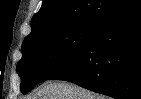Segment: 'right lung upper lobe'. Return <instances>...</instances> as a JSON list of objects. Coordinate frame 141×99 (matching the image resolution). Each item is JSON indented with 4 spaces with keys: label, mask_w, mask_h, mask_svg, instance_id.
Returning <instances> with one entry per match:
<instances>
[{
    "label": "right lung upper lobe",
    "mask_w": 141,
    "mask_h": 99,
    "mask_svg": "<svg viewBox=\"0 0 141 99\" xmlns=\"http://www.w3.org/2000/svg\"><path fill=\"white\" fill-rule=\"evenodd\" d=\"M133 0H43L25 41L82 21H101Z\"/></svg>",
    "instance_id": "1"
}]
</instances>
